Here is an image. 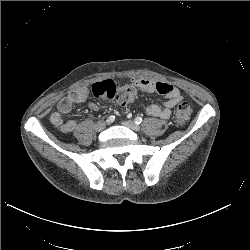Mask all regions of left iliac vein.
Here are the masks:
<instances>
[{"label":"left iliac vein","instance_id":"4c4485c4","mask_svg":"<svg viewBox=\"0 0 250 250\" xmlns=\"http://www.w3.org/2000/svg\"><path fill=\"white\" fill-rule=\"evenodd\" d=\"M122 124L136 132H139L141 130L140 126L131 120L123 121Z\"/></svg>","mask_w":250,"mask_h":250}]
</instances>
